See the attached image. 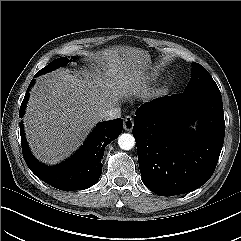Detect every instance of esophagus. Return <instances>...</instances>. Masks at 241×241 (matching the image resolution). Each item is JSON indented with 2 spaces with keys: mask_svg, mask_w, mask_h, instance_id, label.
Returning <instances> with one entry per match:
<instances>
[{
  "mask_svg": "<svg viewBox=\"0 0 241 241\" xmlns=\"http://www.w3.org/2000/svg\"><path fill=\"white\" fill-rule=\"evenodd\" d=\"M133 126H134L133 118L129 115L125 116V118H124V129L126 131H132Z\"/></svg>",
  "mask_w": 241,
  "mask_h": 241,
  "instance_id": "34e87169",
  "label": "esophagus"
}]
</instances>
